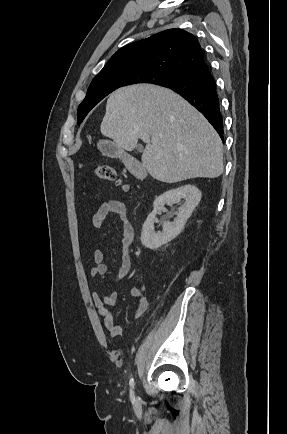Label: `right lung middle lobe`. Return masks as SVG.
Masks as SVG:
<instances>
[{
	"instance_id": "dd1d6c3e",
	"label": "right lung middle lobe",
	"mask_w": 287,
	"mask_h": 434,
	"mask_svg": "<svg viewBox=\"0 0 287 434\" xmlns=\"http://www.w3.org/2000/svg\"><path fill=\"white\" fill-rule=\"evenodd\" d=\"M180 77V74H171L162 71H147L134 76L118 75L92 80L85 99L79 105L77 123L80 124L89 111L104 97L122 86L139 83L166 86L167 84L176 82Z\"/></svg>"
}]
</instances>
